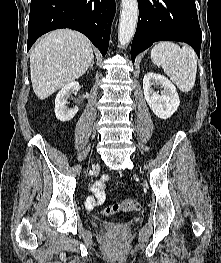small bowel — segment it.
<instances>
[{"label": "small bowel", "mask_w": 221, "mask_h": 263, "mask_svg": "<svg viewBox=\"0 0 221 263\" xmlns=\"http://www.w3.org/2000/svg\"><path fill=\"white\" fill-rule=\"evenodd\" d=\"M109 179L108 175L103 176L100 181L95 182L91 186V190L93 192V196H90L85 201V207L87 210H93L97 206H100L105 203L106 201V194H105V182Z\"/></svg>", "instance_id": "1"}]
</instances>
